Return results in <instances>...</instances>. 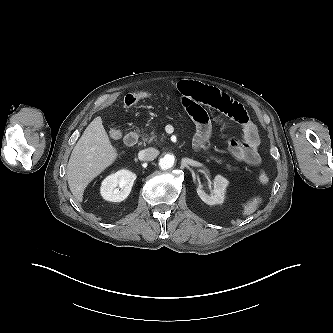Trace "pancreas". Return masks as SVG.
Returning a JSON list of instances; mask_svg holds the SVG:
<instances>
[{
    "instance_id": "cf45deb5",
    "label": "pancreas",
    "mask_w": 333,
    "mask_h": 333,
    "mask_svg": "<svg viewBox=\"0 0 333 333\" xmlns=\"http://www.w3.org/2000/svg\"><path fill=\"white\" fill-rule=\"evenodd\" d=\"M163 136V135H162ZM143 142L145 143H153L157 142V135L154 130L151 131L150 136L148 134H143Z\"/></svg>"
}]
</instances>
